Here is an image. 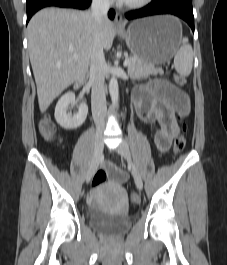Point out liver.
Here are the masks:
<instances>
[{"instance_id":"liver-1","label":"liver","mask_w":227,"mask_h":265,"mask_svg":"<svg viewBox=\"0 0 227 265\" xmlns=\"http://www.w3.org/2000/svg\"><path fill=\"white\" fill-rule=\"evenodd\" d=\"M27 31L29 57L43 113L57 96L88 72L96 24L91 11L45 8L31 18ZM99 35L103 48L109 50L115 36L109 19L101 22Z\"/></svg>"}]
</instances>
